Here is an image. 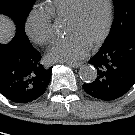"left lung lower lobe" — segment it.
I'll use <instances>...</instances> for the list:
<instances>
[{"mask_svg":"<svg viewBox=\"0 0 135 135\" xmlns=\"http://www.w3.org/2000/svg\"><path fill=\"white\" fill-rule=\"evenodd\" d=\"M89 63L97 69L94 82L84 84L90 96L111 101L122 97L135 84V31L105 44Z\"/></svg>","mask_w":135,"mask_h":135,"instance_id":"1","label":"left lung lower lobe"}]
</instances>
